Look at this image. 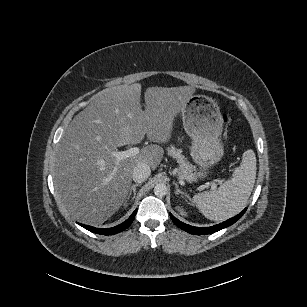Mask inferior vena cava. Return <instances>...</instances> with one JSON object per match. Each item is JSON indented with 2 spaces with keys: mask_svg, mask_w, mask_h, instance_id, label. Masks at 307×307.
<instances>
[{
  "mask_svg": "<svg viewBox=\"0 0 307 307\" xmlns=\"http://www.w3.org/2000/svg\"><path fill=\"white\" fill-rule=\"evenodd\" d=\"M151 174V170L148 164L139 162L133 169L132 178L137 183L144 182Z\"/></svg>",
  "mask_w": 307,
  "mask_h": 307,
  "instance_id": "1",
  "label": "inferior vena cava"
}]
</instances>
